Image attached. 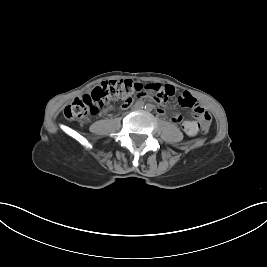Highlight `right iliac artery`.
I'll list each match as a JSON object with an SVG mask.
<instances>
[{"label": "right iliac artery", "mask_w": 267, "mask_h": 267, "mask_svg": "<svg viewBox=\"0 0 267 267\" xmlns=\"http://www.w3.org/2000/svg\"><path fill=\"white\" fill-rule=\"evenodd\" d=\"M136 106L138 108H143L144 107V103L142 101H138V102H136Z\"/></svg>", "instance_id": "right-iliac-artery-1"}]
</instances>
